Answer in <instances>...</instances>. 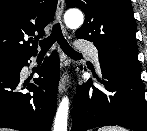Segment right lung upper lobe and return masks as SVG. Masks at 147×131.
I'll use <instances>...</instances> for the list:
<instances>
[{
	"label": "right lung upper lobe",
	"mask_w": 147,
	"mask_h": 131,
	"mask_svg": "<svg viewBox=\"0 0 147 131\" xmlns=\"http://www.w3.org/2000/svg\"><path fill=\"white\" fill-rule=\"evenodd\" d=\"M56 5L57 0H0V60L36 54V41L45 34Z\"/></svg>",
	"instance_id": "obj_1"
}]
</instances>
